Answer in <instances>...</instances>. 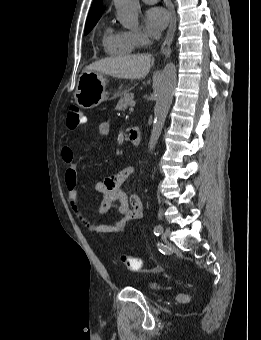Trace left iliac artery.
<instances>
[{
    "label": "left iliac artery",
    "mask_w": 261,
    "mask_h": 340,
    "mask_svg": "<svg viewBox=\"0 0 261 340\" xmlns=\"http://www.w3.org/2000/svg\"><path fill=\"white\" fill-rule=\"evenodd\" d=\"M163 231V227L161 225H156L154 227V234L156 236H159L161 234V232Z\"/></svg>",
    "instance_id": "44dca946"
}]
</instances>
